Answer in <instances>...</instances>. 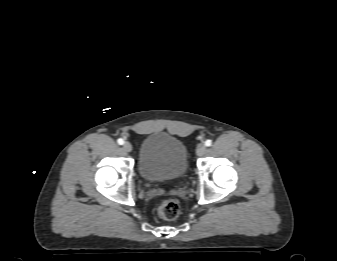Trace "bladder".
<instances>
[{
    "mask_svg": "<svg viewBox=\"0 0 337 261\" xmlns=\"http://www.w3.org/2000/svg\"><path fill=\"white\" fill-rule=\"evenodd\" d=\"M138 170L149 182H162L183 178L188 170L185 144L165 133L145 136L140 144Z\"/></svg>",
    "mask_w": 337,
    "mask_h": 261,
    "instance_id": "bladder-1",
    "label": "bladder"
}]
</instances>
